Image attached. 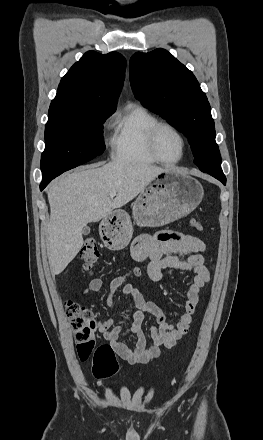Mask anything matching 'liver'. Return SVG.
Returning a JSON list of instances; mask_svg holds the SVG:
<instances>
[{
    "instance_id": "liver-1",
    "label": "liver",
    "mask_w": 263,
    "mask_h": 440,
    "mask_svg": "<svg viewBox=\"0 0 263 440\" xmlns=\"http://www.w3.org/2000/svg\"><path fill=\"white\" fill-rule=\"evenodd\" d=\"M168 169L114 161L82 167L55 180L48 189L50 221L46 246L52 274L58 275L83 246V228L108 217L140 194ZM116 191L114 199L110 192Z\"/></svg>"
}]
</instances>
